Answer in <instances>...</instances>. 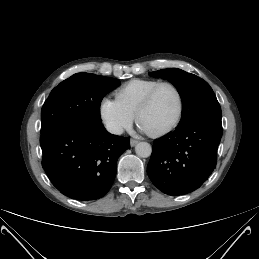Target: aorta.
Returning a JSON list of instances; mask_svg holds the SVG:
<instances>
[{
    "label": "aorta",
    "mask_w": 259,
    "mask_h": 259,
    "mask_svg": "<svg viewBox=\"0 0 259 259\" xmlns=\"http://www.w3.org/2000/svg\"><path fill=\"white\" fill-rule=\"evenodd\" d=\"M135 152L136 154L141 157V158H147L151 155L152 153V147L149 143L147 142H139L135 146Z\"/></svg>",
    "instance_id": "obj_1"
}]
</instances>
